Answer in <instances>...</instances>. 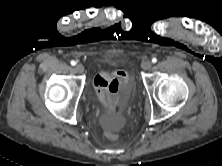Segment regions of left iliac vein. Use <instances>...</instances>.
Here are the masks:
<instances>
[{
  "label": "left iliac vein",
  "mask_w": 222,
  "mask_h": 166,
  "mask_svg": "<svg viewBox=\"0 0 222 166\" xmlns=\"http://www.w3.org/2000/svg\"><path fill=\"white\" fill-rule=\"evenodd\" d=\"M151 67H152V62L149 60L142 63V68L144 70H149V69H151Z\"/></svg>",
  "instance_id": "4c4485c4"
}]
</instances>
